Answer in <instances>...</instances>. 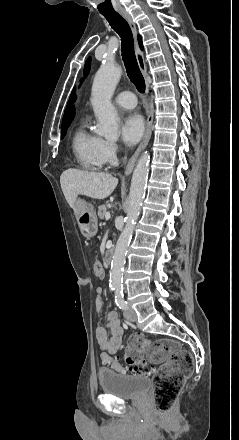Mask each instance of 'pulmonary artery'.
<instances>
[{"label": "pulmonary artery", "instance_id": "1", "mask_svg": "<svg viewBox=\"0 0 239 440\" xmlns=\"http://www.w3.org/2000/svg\"><path fill=\"white\" fill-rule=\"evenodd\" d=\"M115 103L124 108H134L137 104V100L134 93L125 91L116 96Z\"/></svg>", "mask_w": 239, "mask_h": 440}]
</instances>
